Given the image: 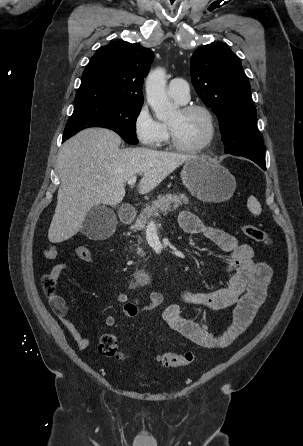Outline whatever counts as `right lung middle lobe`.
<instances>
[{"label": "right lung middle lobe", "instance_id": "right-lung-middle-lobe-1", "mask_svg": "<svg viewBox=\"0 0 303 446\" xmlns=\"http://www.w3.org/2000/svg\"><path fill=\"white\" fill-rule=\"evenodd\" d=\"M142 105L117 102L94 103L75 107L68 120L63 141L89 127H104L118 133L130 144L138 143L135 135V122Z\"/></svg>", "mask_w": 303, "mask_h": 446}]
</instances>
